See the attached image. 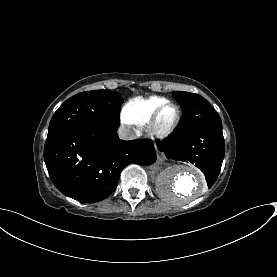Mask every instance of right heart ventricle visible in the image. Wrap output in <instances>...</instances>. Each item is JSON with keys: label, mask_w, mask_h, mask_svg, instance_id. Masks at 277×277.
I'll use <instances>...</instances> for the list:
<instances>
[{"label": "right heart ventricle", "mask_w": 277, "mask_h": 277, "mask_svg": "<svg viewBox=\"0 0 277 277\" xmlns=\"http://www.w3.org/2000/svg\"><path fill=\"white\" fill-rule=\"evenodd\" d=\"M166 101H168L166 98L157 96L148 99L133 98L123 107L122 117L129 123L144 125L149 121L154 110Z\"/></svg>", "instance_id": "obj_1"}]
</instances>
